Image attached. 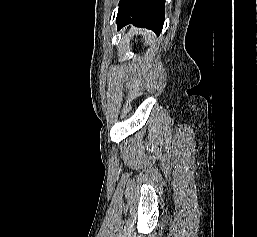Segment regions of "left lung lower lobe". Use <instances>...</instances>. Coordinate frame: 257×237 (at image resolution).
Here are the masks:
<instances>
[{
    "mask_svg": "<svg viewBox=\"0 0 257 237\" xmlns=\"http://www.w3.org/2000/svg\"><path fill=\"white\" fill-rule=\"evenodd\" d=\"M164 3L165 0H121L116 20L118 29L132 23L159 35L164 23Z\"/></svg>",
    "mask_w": 257,
    "mask_h": 237,
    "instance_id": "obj_1",
    "label": "left lung lower lobe"
}]
</instances>
